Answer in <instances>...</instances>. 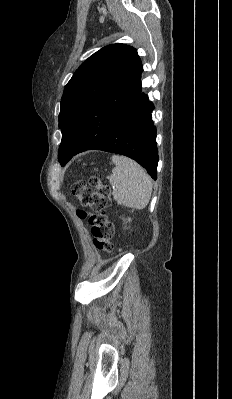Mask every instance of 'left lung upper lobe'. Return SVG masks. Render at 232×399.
<instances>
[{"label": "left lung upper lobe", "mask_w": 232, "mask_h": 399, "mask_svg": "<svg viewBox=\"0 0 232 399\" xmlns=\"http://www.w3.org/2000/svg\"><path fill=\"white\" fill-rule=\"evenodd\" d=\"M142 72L136 49L124 44L101 48L75 71L64 89L58 117L62 166L108 134L138 95Z\"/></svg>", "instance_id": "1"}]
</instances>
